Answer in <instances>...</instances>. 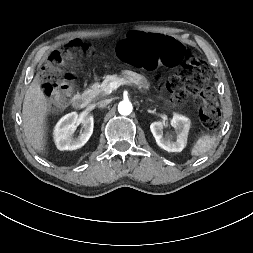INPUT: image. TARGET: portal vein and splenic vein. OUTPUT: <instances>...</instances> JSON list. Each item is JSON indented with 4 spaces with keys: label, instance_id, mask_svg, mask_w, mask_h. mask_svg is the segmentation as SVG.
Instances as JSON below:
<instances>
[{
    "label": "portal vein and splenic vein",
    "instance_id": "18ae733b",
    "mask_svg": "<svg viewBox=\"0 0 253 253\" xmlns=\"http://www.w3.org/2000/svg\"><path fill=\"white\" fill-rule=\"evenodd\" d=\"M124 84H131V82L130 81H128V80H125V79H121L120 81H115V82H111L110 83V88L112 89V90H115V89H117L119 86H121V85H124Z\"/></svg>",
    "mask_w": 253,
    "mask_h": 253
}]
</instances>
